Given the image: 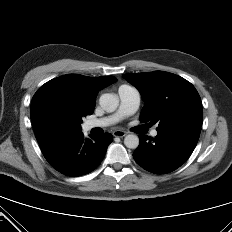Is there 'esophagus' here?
I'll return each mask as SVG.
<instances>
[{
  "label": "esophagus",
  "mask_w": 232,
  "mask_h": 232,
  "mask_svg": "<svg viewBox=\"0 0 232 232\" xmlns=\"http://www.w3.org/2000/svg\"><path fill=\"white\" fill-rule=\"evenodd\" d=\"M112 134L114 137H124L126 135V132L123 130H115Z\"/></svg>",
  "instance_id": "1"
}]
</instances>
